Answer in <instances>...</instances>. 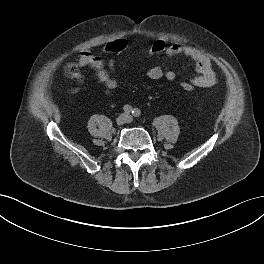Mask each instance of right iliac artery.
I'll return each mask as SVG.
<instances>
[{"label":"right iliac artery","mask_w":264,"mask_h":264,"mask_svg":"<svg viewBox=\"0 0 264 264\" xmlns=\"http://www.w3.org/2000/svg\"><path fill=\"white\" fill-rule=\"evenodd\" d=\"M123 110L125 113H131L133 111V108L130 105H125Z\"/></svg>","instance_id":"right-iliac-artery-1"}]
</instances>
